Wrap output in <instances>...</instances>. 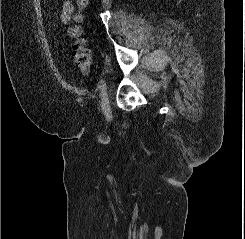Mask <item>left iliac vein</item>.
<instances>
[{"label": "left iliac vein", "instance_id": "4c4485c4", "mask_svg": "<svg viewBox=\"0 0 245 239\" xmlns=\"http://www.w3.org/2000/svg\"><path fill=\"white\" fill-rule=\"evenodd\" d=\"M101 102H102V107L105 113L110 112V105H109V100L107 97V85L106 82H104L103 87L101 88Z\"/></svg>", "mask_w": 245, "mask_h": 239}]
</instances>
